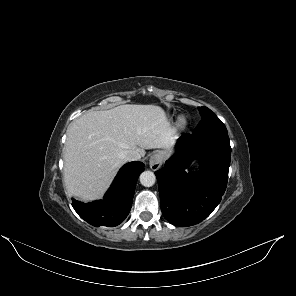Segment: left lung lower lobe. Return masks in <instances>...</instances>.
<instances>
[{
	"label": "left lung lower lobe",
	"instance_id": "1",
	"mask_svg": "<svg viewBox=\"0 0 296 296\" xmlns=\"http://www.w3.org/2000/svg\"><path fill=\"white\" fill-rule=\"evenodd\" d=\"M196 156L201 157V171L186 173ZM230 158L228 132L182 135L176 154L155 172L164 217L183 227L208 217L225 192Z\"/></svg>",
	"mask_w": 296,
	"mask_h": 296
}]
</instances>
